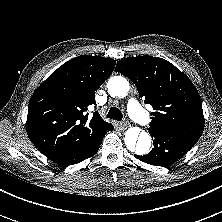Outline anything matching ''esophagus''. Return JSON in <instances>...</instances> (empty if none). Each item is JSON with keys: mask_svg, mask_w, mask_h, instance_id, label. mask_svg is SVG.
Here are the masks:
<instances>
[{"mask_svg": "<svg viewBox=\"0 0 222 222\" xmlns=\"http://www.w3.org/2000/svg\"><path fill=\"white\" fill-rule=\"evenodd\" d=\"M129 123L127 121H123V122H119L117 124V126L121 129H125L126 127H128Z\"/></svg>", "mask_w": 222, "mask_h": 222, "instance_id": "34e87169", "label": "esophagus"}]
</instances>
